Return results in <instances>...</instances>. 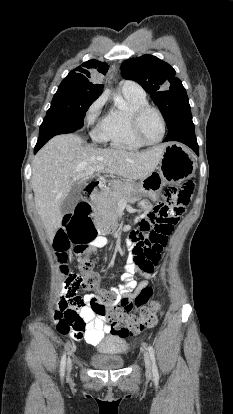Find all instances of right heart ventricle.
Returning <instances> with one entry per match:
<instances>
[{"mask_svg": "<svg viewBox=\"0 0 233 414\" xmlns=\"http://www.w3.org/2000/svg\"><path fill=\"white\" fill-rule=\"evenodd\" d=\"M124 107L113 106L99 125L102 140L111 147L122 150H139L146 146L134 135L131 128L132 112L148 104L145 94L123 91Z\"/></svg>", "mask_w": 233, "mask_h": 414, "instance_id": "e07e8e85", "label": "right heart ventricle"}]
</instances>
